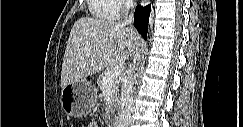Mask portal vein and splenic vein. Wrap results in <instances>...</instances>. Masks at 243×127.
<instances>
[{"label":"portal vein and splenic vein","instance_id":"portal-vein-and-splenic-vein-1","mask_svg":"<svg viewBox=\"0 0 243 127\" xmlns=\"http://www.w3.org/2000/svg\"><path fill=\"white\" fill-rule=\"evenodd\" d=\"M120 76V69L119 68H114L113 70L109 71L104 79L103 83L105 86L110 85L115 79H117Z\"/></svg>","mask_w":243,"mask_h":127}]
</instances>
